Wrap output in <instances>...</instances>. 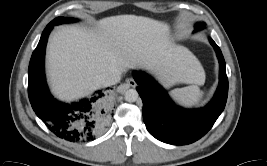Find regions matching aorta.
Masks as SVG:
<instances>
[{"label": "aorta", "mask_w": 267, "mask_h": 166, "mask_svg": "<svg viewBox=\"0 0 267 166\" xmlns=\"http://www.w3.org/2000/svg\"><path fill=\"white\" fill-rule=\"evenodd\" d=\"M124 96L127 102H135L137 101L139 94L135 89H129L125 92Z\"/></svg>", "instance_id": "1"}]
</instances>
